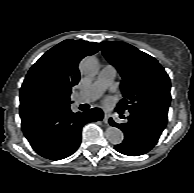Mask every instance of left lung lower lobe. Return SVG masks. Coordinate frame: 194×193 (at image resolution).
<instances>
[{
	"label": "left lung lower lobe",
	"mask_w": 194,
	"mask_h": 193,
	"mask_svg": "<svg viewBox=\"0 0 194 193\" xmlns=\"http://www.w3.org/2000/svg\"><path fill=\"white\" fill-rule=\"evenodd\" d=\"M119 113L123 111L117 109ZM128 121L118 124L110 118L109 123L120 128L124 133L122 143L115 149L128 156H139L150 151L158 142L167 124V113L130 111Z\"/></svg>",
	"instance_id": "obj_1"
}]
</instances>
